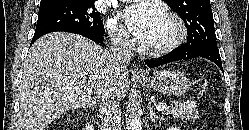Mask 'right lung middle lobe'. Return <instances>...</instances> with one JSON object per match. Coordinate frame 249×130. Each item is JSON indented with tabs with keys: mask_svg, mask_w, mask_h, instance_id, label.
Listing matches in <instances>:
<instances>
[{
	"mask_svg": "<svg viewBox=\"0 0 249 130\" xmlns=\"http://www.w3.org/2000/svg\"><path fill=\"white\" fill-rule=\"evenodd\" d=\"M67 28H81L96 34H104L94 0H65L58 4L40 6L34 34Z\"/></svg>",
	"mask_w": 249,
	"mask_h": 130,
	"instance_id": "dd1d6c3e",
	"label": "right lung middle lobe"
}]
</instances>
